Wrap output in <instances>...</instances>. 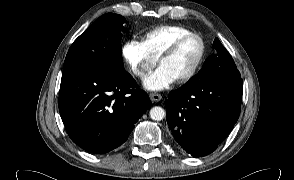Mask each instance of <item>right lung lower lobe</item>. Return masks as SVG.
Instances as JSON below:
<instances>
[{
	"label": "right lung lower lobe",
	"mask_w": 294,
	"mask_h": 180,
	"mask_svg": "<svg viewBox=\"0 0 294 180\" xmlns=\"http://www.w3.org/2000/svg\"><path fill=\"white\" fill-rule=\"evenodd\" d=\"M129 73L80 70L62 76L59 111L74 143L95 154L123 144L151 106Z\"/></svg>",
	"instance_id": "98d812e1"
}]
</instances>
